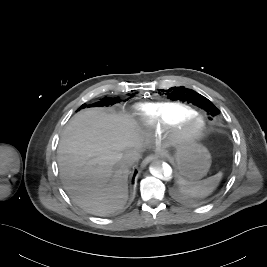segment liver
<instances>
[{"label":"liver","mask_w":267,"mask_h":267,"mask_svg":"<svg viewBox=\"0 0 267 267\" xmlns=\"http://www.w3.org/2000/svg\"><path fill=\"white\" fill-rule=\"evenodd\" d=\"M143 139L127 116L89 108L75 114L58 146L64 189L89 213L104 216L128 199L129 167L124 155L142 147Z\"/></svg>","instance_id":"6515ba94"}]
</instances>
